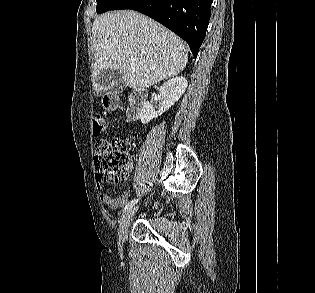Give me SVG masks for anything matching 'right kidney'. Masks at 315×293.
Masks as SVG:
<instances>
[{
  "label": "right kidney",
  "instance_id": "obj_1",
  "mask_svg": "<svg viewBox=\"0 0 315 293\" xmlns=\"http://www.w3.org/2000/svg\"><path fill=\"white\" fill-rule=\"evenodd\" d=\"M187 86L188 81L183 76H178L165 82L160 87V109L158 111H155L153 106L148 101L145 102L140 112L141 122L143 124H146L150 122L153 118L162 115L181 98Z\"/></svg>",
  "mask_w": 315,
  "mask_h": 293
}]
</instances>
